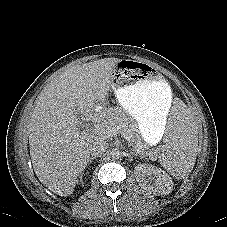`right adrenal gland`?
Masks as SVG:
<instances>
[{
    "label": "right adrenal gland",
    "instance_id": "right-adrenal-gland-1",
    "mask_svg": "<svg viewBox=\"0 0 227 227\" xmlns=\"http://www.w3.org/2000/svg\"><path fill=\"white\" fill-rule=\"evenodd\" d=\"M96 159V157H90L88 160V163L90 164L92 162V160Z\"/></svg>",
    "mask_w": 227,
    "mask_h": 227
}]
</instances>
